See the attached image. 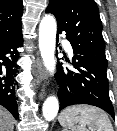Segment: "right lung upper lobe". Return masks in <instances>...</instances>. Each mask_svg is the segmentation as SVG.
I'll list each match as a JSON object with an SVG mask.
<instances>
[{
  "instance_id": "obj_1",
  "label": "right lung upper lobe",
  "mask_w": 117,
  "mask_h": 131,
  "mask_svg": "<svg viewBox=\"0 0 117 131\" xmlns=\"http://www.w3.org/2000/svg\"><path fill=\"white\" fill-rule=\"evenodd\" d=\"M22 0H0V41L21 32Z\"/></svg>"
}]
</instances>
